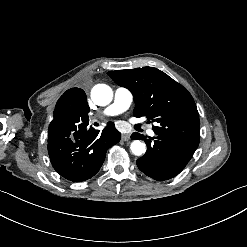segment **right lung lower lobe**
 I'll list each match as a JSON object with an SVG mask.
<instances>
[{
  "label": "right lung lower lobe",
  "instance_id": "1",
  "mask_svg": "<svg viewBox=\"0 0 247 247\" xmlns=\"http://www.w3.org/2000/svg\"><path fill=\"white\" fill-rule=\"evenodd\" d=\"M89 118L68 133L48 136V153L53 168L65 179L81 182L101 168L106 151L121 139V133L109 122L102 131L88 129Z\"/></svg>",
  "mask_w": 247,
  "mask_h": 247
}]
</instances>
